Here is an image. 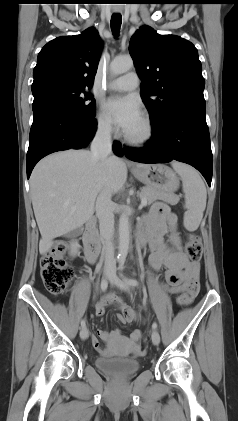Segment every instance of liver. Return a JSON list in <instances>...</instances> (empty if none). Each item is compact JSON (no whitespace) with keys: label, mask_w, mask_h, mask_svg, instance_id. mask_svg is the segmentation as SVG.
Masks as SVG:
<instances>
[{"label":"liver","mask_w":238,"mask_h":421,"mask_svg":"<svg viewBox=\"0 0 238 421\" xmlns=\"http://www.w3.org/2000/svg\"><path fill=\"white\" fill-rule=\"evenodd\" d=\"M126 180L127 167L121 159L112 155L104 163L94 161L84 149L57 152L38 162L30 177V192L41 234L40 253L46 254L55 238L92 218L102 190L115 194Z\"/></svg>","instance_id":"6515ba94"}]
</instances>
